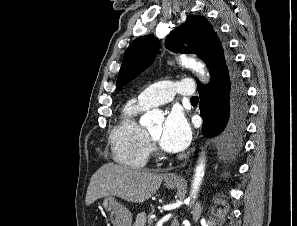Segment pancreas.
I'll use <instances>...</instances> for the list:
<instances>
[{
  "instance_id": "obj_1",
  "label": "pancreas",
  "mask_w": 297,
  "mask_h": 226,
  "mask_svg": "<svg viewBox=\"0 0 297 226\" xmlns=\"http://www.w3.org/2000/svg\"><path fill=\"white\" fill-rule=\"evenodd\" d=\"M153 220L147 218V215L145 212H141L137 215L136 220L133 224V226H152Z\"/></svg>"
}]
</instances>
